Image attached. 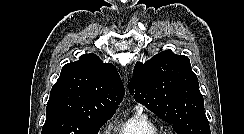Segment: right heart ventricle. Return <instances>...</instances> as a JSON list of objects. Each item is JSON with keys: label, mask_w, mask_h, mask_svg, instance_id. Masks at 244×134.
<instances>
[{"label": "right heart ventricle", "mask_w": 244, "mask_h": 134, "mask_svg": "<svg viewBox=\"0 0 244 134\" xmlns=\"http://www.w3.org/2000/svg\"><path fill=\"white\" fill-rule=\"evenodd\" d=\"M158 126L141 111L118 124L114 134H158Z\"/></svg>", "instance_id": "obj_1"}]
</instances>
